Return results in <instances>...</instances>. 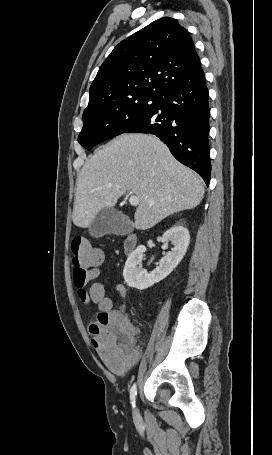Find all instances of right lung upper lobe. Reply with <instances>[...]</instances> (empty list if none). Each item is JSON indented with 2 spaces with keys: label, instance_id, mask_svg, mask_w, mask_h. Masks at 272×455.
<instances>
[{
  "label": "right lung upper lobe",
  "instance_id": "right-lung-upper-lobe-1",
  "mask_svg": "<svg viewBox=\"0 0 272 455\" xmlns=\"http://www.w3.org/2000/svg\"><path fill=\"white\" fill-rule=\"evenodd\" d=\"M202 74L188 31L164 17L113 49L90 86L85 111L135 95L162 97Z\"/></svg>",
  "mask_w": 272,
  "mask_h": 455
}]
</instances>
